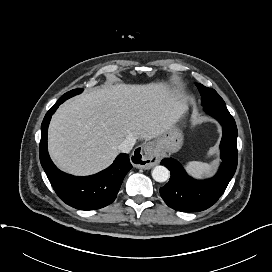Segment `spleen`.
<instances>
[{"mask_svg": "<svg viewBox=\"0 0 272 272\" xmlns=\"http://www.w3.org/2000/svg\"><path fill=\"white\" fill-rule=\"evenodd\" d=\"M185 167L189 174L197 178L208 176L213 172L212 165L205 162L190 161Z\"/></svg>", "mask_w": 272, "mask_h": 272, "instance_id": "1", "label": "spleen"}]
</instances>
